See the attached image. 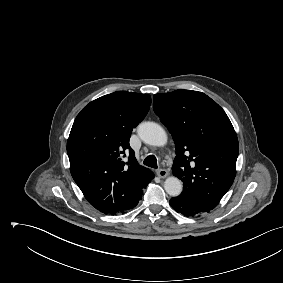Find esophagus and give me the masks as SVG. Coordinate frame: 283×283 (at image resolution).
<instances>
[{"label":"esophagus","instance_id":"1","mask_svg":"<svg viewBox=\"0 0 283 283\" xmlns=\"http://www.w3.org/2000/svg\"><path fill=\"white\" fill-rule=\"evenodd\" d=\"M157 175L160 177V178H165L166 176H168V171L166 169H158L157 170Z\"/></svg>","mask_w":283,"mask_h":283}]
</instances>
